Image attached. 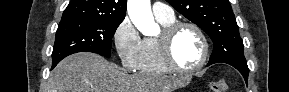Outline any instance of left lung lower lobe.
Segmentation results:
<instances>
[{"mask_svg":"<svg viewBox=\"0 0 289 92\" xmlns=\"http://www.w3.org/2000/svg\"><path fill=\"white\" fill-rule=\"evenodd\" d=\"M227 64L236 68L243 75L245 82L248 83L249 69H248L247 64H239V63H231V62H228ZM208 65H211V64H208Z\"/></svg>","mask_w":289,"mask_h":92,"instance_id":"0a47b994","label":"left lung lower lobe"}]
</instances>
